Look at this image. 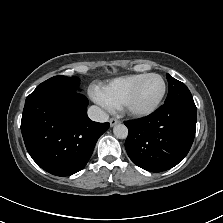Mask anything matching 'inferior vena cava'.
Instances as JSON below:
<instances>
[{
    "mask_svg": "<svg viewBox=\"0 0 223 223\" xmlns=\"http://www.w3.org/2000/svg\"><path fill=\"white\" fill-rule=\"evenodd\" d=\"M90 119L98 122H105L109 119V114L99 106L93 105L88 109Z\"/></svg>",
    "mask_w": 223,
    "mask_h": 223,
    "instance_id": "inferior-vena-cava-1",
    "label": "inferior vena cava"
}]
</instances>
